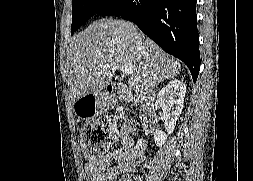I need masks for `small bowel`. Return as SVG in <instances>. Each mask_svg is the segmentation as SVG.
I'll list each match as a JSON object with an SVG mask.
<instances>
[{
  "mask_svg": "<svg viewBox=\"0 0 253 181\" xmlns=\"http://www.w3.org/2000/svg\"><path fill=\"white\" fill-rule=\"evenodd\" d=\"M146 142L134 141L125 134L121 138V147L107 152L85 165L89 181H130L127 176L134 174L135 167L145 158ZM114 160L115 164L111 165Z\"/></svg>",
  "mask_w": 253,
  "mask_h": 181,
  "instance_id": "1",
  "label": "small bowel"
}]
</instances>
